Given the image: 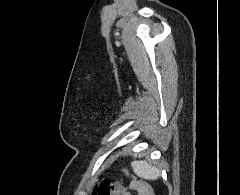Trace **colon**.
Masks as SVG:
<instances>
[{"mask_svg":"<svg viewBox=\"0 0 240 195\" xmlns=\"http://www.w3.org/2000/svg\"><path fill=\"white\" fill-rule=\"evenodd\" d=\"M133 187L141 188V192L144 195H153V190L148 189V184L143 179L133 180L132 181ZM96 194L97 195H129L128 192H125L123 187L120 184H113L108 179H102L96 184Z\"/></svg>","mask_w":240,"mask_h":195,"instance_id":"1","label":"colon"}]
</instances>
